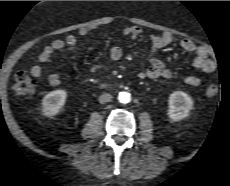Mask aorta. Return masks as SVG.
<instances>
[{
    "label": "aorta",
    "mask_w": 230,
    "mask_h": 186,
    "mask_svg": "<svg viewBox=\"0 0 230 186\" xmlns=\"http://www.w3.org/2000/svg\"><path fill=\"white\" fill-rule=\"evenodd\" d=\"M118 100L120 103L127 104L131 101V95L128 92H120L118 95Z\"/></svg>",
    "instance_id": "obj_1"
}]
</instances>
